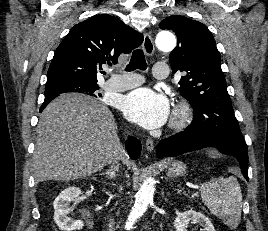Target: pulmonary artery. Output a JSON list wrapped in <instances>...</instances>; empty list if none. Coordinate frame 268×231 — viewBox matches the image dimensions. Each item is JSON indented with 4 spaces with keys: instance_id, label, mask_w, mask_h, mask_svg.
I'll list each match as a JSON object with an SVG mask.
<instances>
[{
    "instance_id": "pulmonary-artery-1",
    "label": "pulmonary artery",
    "mask_w": 268,
    "mask_h": 231,
    "mask_svg": "<svg viewBox=\"0 0 268 231\" xmlns=\"http://www.w3.org/2000/svg\"><path fill=\"white\" fill-rule=\"evenodd\" d=\"M168 66L164 62L154 64L153 76L157 80H165L168 77ZM141 84L135 74L113 75L105 84L104 89L108 92H123Z\"/></svg>"
}]
</instances>
